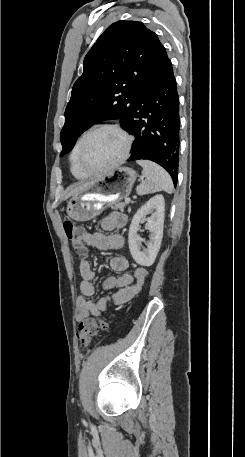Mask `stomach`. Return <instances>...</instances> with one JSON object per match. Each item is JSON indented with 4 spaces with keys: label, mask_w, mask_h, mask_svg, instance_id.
Masks as SVG:
<instances>
[{
    "label": "stomach",
    "mask_w": 245,
    "mask_h": 457,
    "mask_svg": "<svg viewBox=\"0 0 245 457\" xmlns=\"http://www.w3.org/2000/svg\"><path fill=\"white\" fill-rule=\"evenodd\" d=\"M136 180L134 168L119 166L105 176L96 178L81 192L73 194L68 200L66 212L74 220H91L103 212L115 200H122L131 192Z\"/></svg>",
    "instance_id": "obj_1"
}]
</instances>
